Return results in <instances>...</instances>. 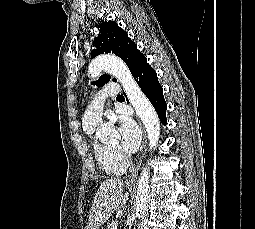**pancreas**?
Masks as SVG:
<instances>
[{
  "label": "pancreas",
  "mask_w": 255,
  "mask_h": 229,
  "mask_svg": "<svg viewBox=\"0 0 255 229\" xmlns=\"http://www.w3.org/2000/svg\"><path fill=\"white\" fill-rule=\"evenodd\" d=\"M115 226H117V221H112L108 224L107 229H114Z\"/></svg>",
  "instance_id": "1"
}]
</instances>
